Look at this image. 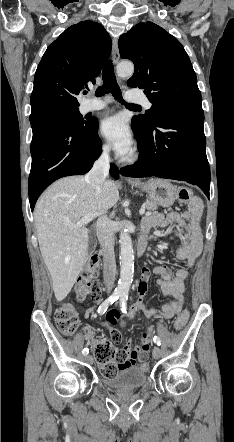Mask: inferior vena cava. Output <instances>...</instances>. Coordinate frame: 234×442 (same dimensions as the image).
Listing matches in <instances>:
<instances>
[{
	"instance_id": "obj_1",
	"label": "inferior vena cava",
	"mask_w": 234,
	"mask_h": 442,
	"mask_svg": "<svg viewBox=\"0 0 234 442\" xmlns=\"http://www.w3.org/2000/svg\"><path fill=\"white\" fill-rule=\"evenodd\" d=\"M109 151L104 149L101 156L95 161L92 169L86 174L85 180L99 192L109 174ZM97 237L103 252V278L109 293L114 285L116 276V261L114 254L115 234L107 216L97 220Z\"/></svg>"
}]
</instances>
